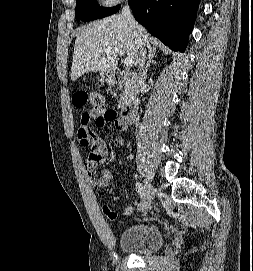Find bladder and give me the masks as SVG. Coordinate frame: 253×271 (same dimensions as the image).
<instances>
[{
  "label": "bladder",
  "mask_w": 253,
  "mask_h": 271,
  "mask_svg": "<svg viewBox=\"0 0 253 271\" xmlns=\"http://www.w3.org/2000/svg\"><path fill=\"white\" fill-rule=\"evenodd\" d=\"M165 241V234L158 226L137 224L122 232L118 245L123 251L145 255L159 251Z\"/></svg>",
  "instance_id": "1"
}]
</instances>
